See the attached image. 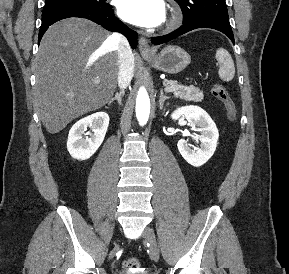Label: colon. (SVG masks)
<instances>
[{
	"mask_svg": "<svg viewBox=\"0 0 289 274\" xmlns=\"http://www.w3.org/2000/svg\"><path fill=\"white\" fill-rule=\"evenodd\" d=\"M211 91L213 96L223 104L228 119L234 121L237 116V108L226 88L220 84H214ZM123 266L130 272L138 271L141 268L140 261L135 257L126 259Z\"/></svg>",
	"mask_w": 289,
	"mask_h": 274,
	"instance_id": "colon-1",
	"label": "colon"
}]
</instances>
